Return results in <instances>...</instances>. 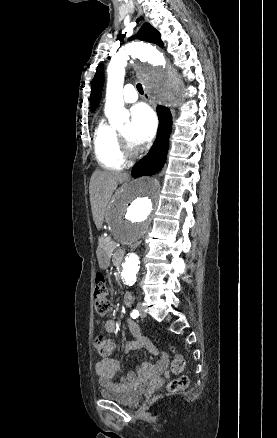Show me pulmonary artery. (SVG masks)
I'll return each mask as SVG.
<instances>
[{
	"mask_svg": "<svg viewBox=\"0 0 277 438\" xmlns=\"http://www.w3.org/2000/svg\"><path fill=\"white\" fill-rule=\"evenodd\" d=\"M127 87L124 90L125 95L122 97L121 101L126 104H131L137 101V89L132 87V83H127Z\"/></svg>",
	"mask_w": 277,
	"mask_h": 438,
	"instance_id": "1",
	"label": "pulmonary artery"
}]
</instances>
